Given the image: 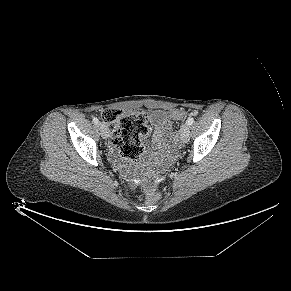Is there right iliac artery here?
I'll return each mask as SVG.
<instances>
[{
  "mask_svg": "<svg viewBox=\"0 0 291 291\" xmlns=\"http://www.w3.org/2000/svg\"><path fill=\"white\" fill-rule=\"evenodd\" d=\"M93 123H95V124H98L99 123V120L97 119V118H93Z\"/></svg>",
  "mask_w": 291,
  "mask_h": 291,
  "instance_id": "1",
  "label": "right iliac artery"
}]
</instances>
